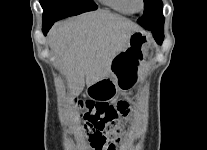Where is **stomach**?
Listing matches in <instances>:
<instances>
[{
    "instance_id": "stomach-1",
    "label": "stomach",
    "mask_w": 207,
    "mask_h": 150,
    "mask_svg": "<svg viewBox=\"0 0 207 150\" xmlns=\"http://www.w3.org/2000/svg\"><path fill=\"white\" fill-rule=\"evenodd\" d=\"M148 43L145 32H133L127 47L112 60L111 76L88 86L87 95L96 100H111L119 90L130 88L139 77Z\"/></svg>"
}]
</instances>
